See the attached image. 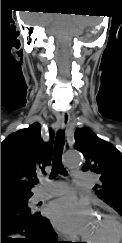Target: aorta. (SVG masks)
Segmentation results:
<instances>
[{
  "label": "aorta",
  "mask_w": 122,
  "mask_h": 243,
  "mask_svg": "<svg viewBox=\"0 0 122 243\" xmlns=\"http://www.w3.org/2000/svg\"><path fill=\"white\" fill-rule=\"evenodd\" d=\"M65 163L70 168L78 167L82 163V156L77 151H70L65 156Z\"/></svg>",
  "instance_id": "1"
}]
</instances>
